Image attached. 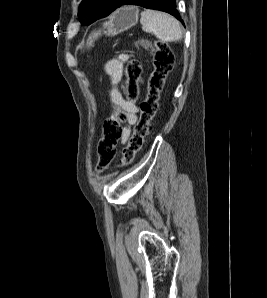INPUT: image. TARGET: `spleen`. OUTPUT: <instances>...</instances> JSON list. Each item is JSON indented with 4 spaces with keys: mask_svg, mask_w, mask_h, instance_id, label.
I'll return each mask as SVG.
<instances>
[{
    "mask_svg": "<svg viewBox=\"0 0 267 298\" xmlns=\"http://www.w3.org/2000/svg\"><path fill=\"white\" fill-rule=\"evenodd\" d=\"M140 22L143 31L154 34L163 42H175L182 38L179 21L167 13L144 10Z\"/></svg>",
    "mask_w": 267,
    "mask_h": 298,
    "instance_id": "obj_1",
    "label": "spleen"
}]
</instances>
